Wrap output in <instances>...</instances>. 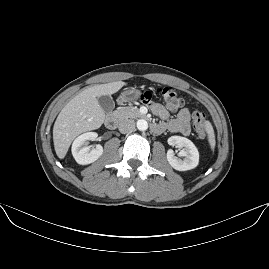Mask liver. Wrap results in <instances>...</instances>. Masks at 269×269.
Instances as JSON below:
<instances>
[{
    "label": "liver",
    "instance_id": "1",
    "mask_svg": "<svg viewBox=\"0 0 269 269\" xmlns=\"http://www.w3.org/2000/svg\"><path fill=\"white\" fill-rule=\"evenodd\" d=\"M124 85L123 81L95 85L76 95L64 106L53 128L54 147L60 159L65 157L75 137L98 129L104 123L105 112L97 98L114 94Z\"/></svg>",
    "mask_w": 269,
    "mask_h": 269
}]
</instances>
